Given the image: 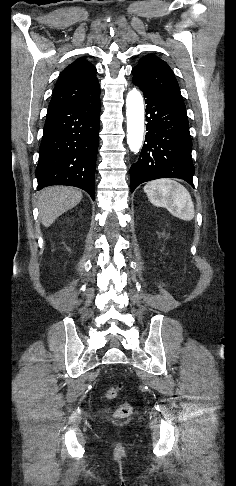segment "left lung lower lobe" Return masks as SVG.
Wrapping results in <instances>:
<instances>
[{
	"instance_id": "left-lung-lower-lobe-1",
	"label": "left lung lower lobe",
	"mask_w": 236,
	"mask_h": 486,
	"mask_svg": "<svg viewBox=\"0 0 236 486\" xmlns=\"http://www.w3.org/2000/svg\"><path fill=\"white\" fill-rule=\"evenodd\" d=\"M132 82L145 97L148 132L139 159L130 168L131 192L139 184L159 178H179L194 186L186 109L161 97L149 86Z\"/></svg>"
}]
</instances>
